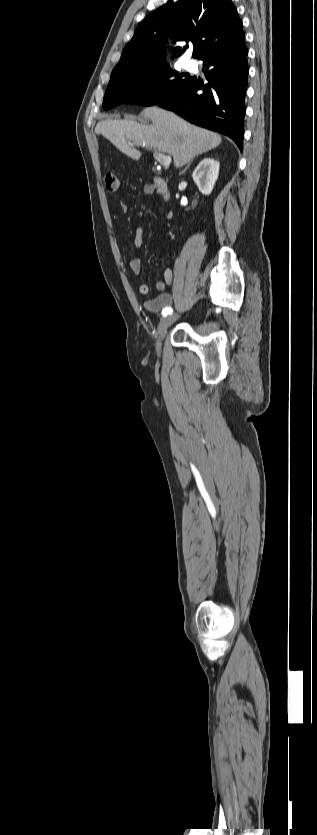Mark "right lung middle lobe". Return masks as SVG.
<instances>
[{
	"label": "right lung middle lobe",
	"mask_w": 317,
	"mask_h": 835,
	"mask_svg": "<svg viewBox=\"0 0 317 835\" xmlns=\"http://www.w3.org/2000/svg\"><path fill=\"white\" fill-rule=\"evenodd\" d=\"M190 80L191 77L185 74L179 75L176 71L172 73L168 65L141 71L113 70L104 96L103 107L110 109L121 103L151 106L188 84Z\"/></svg>",
	"instance_id": "obj_1"
}]
</instances>
